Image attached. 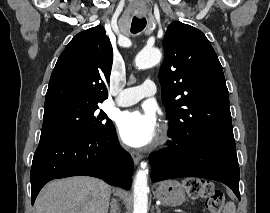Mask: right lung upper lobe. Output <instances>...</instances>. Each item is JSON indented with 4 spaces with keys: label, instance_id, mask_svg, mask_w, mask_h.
Returning a JSON list of instances; mask_svg holds the SVG:
<instances>
[{
    "label": "right lung upper lobe",
    "instance_id": "cb5924a9",
    "mask_svg": "<svg viewBox=\"0 0 270 213\" xmlns=\"http://www.w3.org/2000/svg\"><path fill=\"white\" fill-rule=\"evenodd\" d=\"M113 51L102 26L78 33L52 72L45 107L64 101L102 103L108 98Z\"/></svg>",
    "mask_w": 270,
    "mask_h": 213
}]
</instances>
